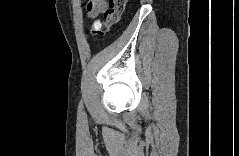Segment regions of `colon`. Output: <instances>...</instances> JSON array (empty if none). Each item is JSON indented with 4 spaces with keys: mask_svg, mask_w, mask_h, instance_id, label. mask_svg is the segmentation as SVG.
<instances>
[{
    "mask_svg": "<svg viewBox=\"0 0 239 156\" xmlns=\"http://www.w3.org/2000/svg\"><path fill=\"white\" fill-rule=\"evenodd\" d=\"M125 4L126 0H109L108 7L104 12V20L94 22L88 33V37L107 35L110 27L119 22Z\"/></svg>",
    "mask_w": 239,
    "mask_h": 156,
    "instance_id": "1",
    "label": "colon"
}]
</instances>
